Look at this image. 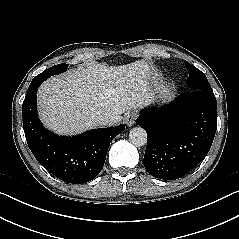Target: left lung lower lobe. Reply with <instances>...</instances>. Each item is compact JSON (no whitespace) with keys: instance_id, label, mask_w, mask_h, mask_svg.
I'll return each mask as SVG.
<instances>
[{"instance_id":"1","label":"left lung lower lobe","mask_w":239,"mask_h":239,"mask_svg":"<svg viewBox=\"0 0 239 239\" xmlns=\"http://www.w3.org/2000/svg\"><path fill=\"white\" fill-rule=\"evenodd\" d=\"M136 123L148 135L143 159L147 172L179 179L210 150L217 128L216 98L208 90L183 93L164 107L142 110Z\"/></svg>"}]
</instances>
